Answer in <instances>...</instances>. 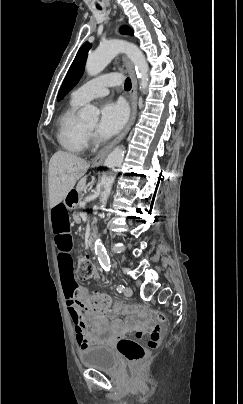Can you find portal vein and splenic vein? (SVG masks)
Masks as SVG:
<instances>
[{"label":"portal vein and splenic vein","instance_id":"obj_1","mask_svg":"<svg viewBox=\"0 0 243 404\" xmlns=\"http://www.w3.org/2000/svg\"><path fill=\"white\" fill-rule=\"evenodd\" d=\"M78 215L84 216V215H87V212H84V210H81V212H78Z\"/></svg>","mask_w":243,"mask_h":404}]
</instances>
